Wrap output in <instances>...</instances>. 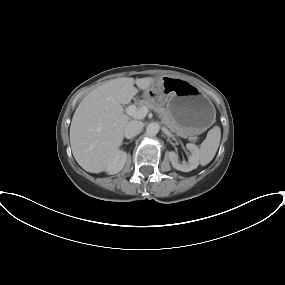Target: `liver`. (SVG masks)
Returning a JSON list of instances; mask_svg holds the SVG:
<instances>
[{"mask_svg":"<svg viewBox=\"0 0 285 285\" xmlns=\"http://www.w3.org/2000/svg\"><path fill=\"white\" fill-rule=\"evenodd\" d=\"M154 83L153 77H121L92 90L77 107L70 126V144L77 163L87 172L104 171L123 142L129 117L128 104L141 90Z\"/></svg>","mask_w":285,"mask_h":285,"instance_id":"6515ba94","label":"liver"}]
</instances>
